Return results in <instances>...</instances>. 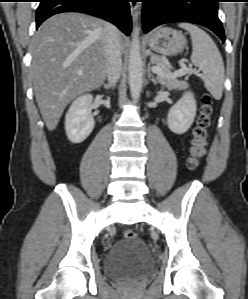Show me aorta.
<instances>
[{
	"instance_id": "obj_1",
	"label": "aorta",
	"mask_w": 248,
	"mask_h": 299,
	"mask_svg": "<svg viewBox=\"0 0 248 299\" xmlns=\"http://www.w3.org/2000/svg\"><path fill=\"white\" fill-rule=\"evenodd\" d=\"M140 28L135 27L132 34L131 49L128 65V80L131 97L137 100L142 89L143 65L140 53Z\"/></svg>"
}]
</instances>
